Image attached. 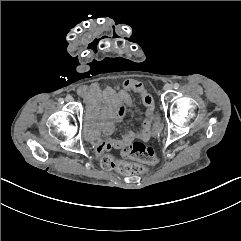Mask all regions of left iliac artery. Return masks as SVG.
<instances>
[{
	"instance_id": "1",
	"label": "left iliac artery",
	"mask_w": 241,
	"mask_h": 241,
	"mask_svg": "<svg viewBox=\"0 0 241 241\" xmlns=\"http://www.w3.org/2000/svg\"><path fill=\"white\" fill-rule=\"evenodd\" d=\"M173 87H174L175 89H178V88H179V84H178V83H175V84L173 85Z\"/></svg>"
}]
</instances>
